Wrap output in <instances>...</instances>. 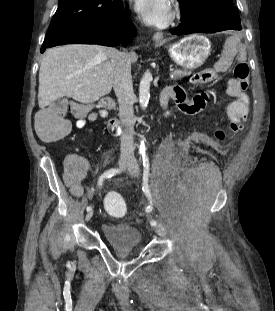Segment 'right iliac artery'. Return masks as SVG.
<instances>
[{"label": "right iliac artery", "instance_id": "82829eb1", "mask_svg": "<svg viewBox=\"0 0 275 311\" xmlns=\"http://www.w3.org/2000/svg\"><path fill=\"white\" fill-rule=\"evenodd\" d=\"M120 172H121V170L116 169V168H112V169L107 170L106 172H104V173L99 177V179H98V186H99V187H102L103 181H104L105 179H109V178H111L112 176H114V175H116V174H118V173H120ZM91 210H92V208H91L90 206H88V207H87V211L89 212V211H91Z\"/></svg>", "mask_w": 275, "mask_h": 311}]
</instances>
